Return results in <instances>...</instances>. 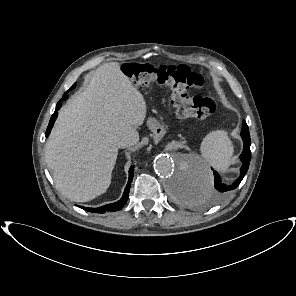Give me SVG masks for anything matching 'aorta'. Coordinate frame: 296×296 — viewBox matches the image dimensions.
<instances>
[{"instance_id":"obj_1","label":"aorta","mask_w":296,"mask_h":296,"mask_svg":"<svg viewBox=\"0 0 296 296\" xmlns=\"http://www.w3.org/2000/svg\"><path fill=\"white\" fill-rule=\"evenodd\" d=\"M153 166L155 172L164 179L169 196L183 206L202 204L213 189L211 172L194 155L160 154Z\"/></svg>"}]
</instances>
